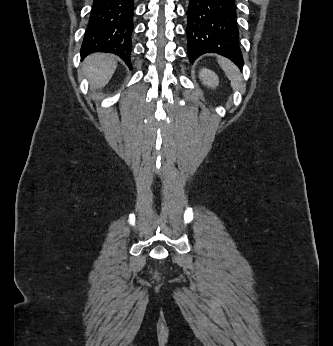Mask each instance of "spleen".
Instances as JSON below:
<instances>
[{
	"instance_id": "1",
	"label": "spleen",
	"mask_w": 333,
	"mask_h": 346,
	"mask_svg": "<svg viewBox=\"0 0 333 346\" xmlns=\"http://www.w3.org/2000/svg\"><path fill=\"white\" fill-rule=\"evenodd\" d=\"M218 62L221 65L224 72L226 73L229 80L231 81L232 88L235 90H239L241 87L242 79L237 67L227 59L221 58Z\"/></svg>"
}]
</instances>
